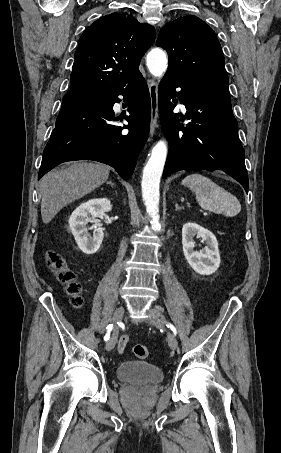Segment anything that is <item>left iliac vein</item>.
I'll list each match as a JSON object with an SVG mask.
<instances>
[{
  "mask_svg": "<svg viewBox=\"0 0 281 453\" xmlns=\"http://www.w3.org/2000/svg\"><path fill=\"white\" fill-rule=\"evenodd\" d=\"M150 311V314L149 315H152L154 317L155 320H153V317H150L149 319V322H150V325H156V328H161V323H157L156 319L159 317V316H163L162 314L160 315V311L159 310H149ZM159 319V318H158ZM163 319V318H162ZM163 323V322H162ZM165 327L168 325L166 322H164L163 324ZM162 329V328H161ZM168 335V342L170 343V347L171 348H176L177 347V338H175V336L173 334H171L169 331L166 333Z\"/></svg>",
  "mask_w": 281,
  "mask_h": 453,
  "instance_id": "left-iliac-vein-1",
  "label": "left iliac vein"
}]
</instances>
